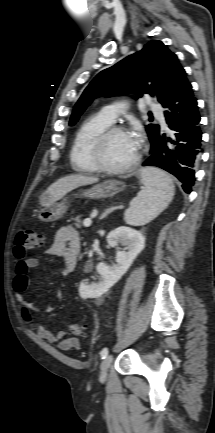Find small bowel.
Masks as SVG:
<instances>
[{
    "label": "small bowel",
    "instance_id": "1",
    "mask_svg": "<svg viewBox=\"0 0 215 433\" xmlns=\"http://www.w3.org/2000/svg\"><path fill=\"white\" fill-rule=\"evenodd\" d=\"M81 251V237L78 231L71 226L60 227L53 239L51 246L46 250L50 257L62 258L61 272L67 275L73 271L77 264L78 256ZM39 265L37 257H28L18 261L13 280V290L20 303L23 319L30 323L38 336L49 343L57 344L63 351L80 349L81 343L76 337L66 338L64 330L50 331L40 324L33 323L32 313L38 312L39 308L30 300L24 297L25 291L30 286L29 271ZM61 297V293L57 294Z\"/></svg>",
    "mask_w": 215,
    "mask_h": 433
}]
</instances>
